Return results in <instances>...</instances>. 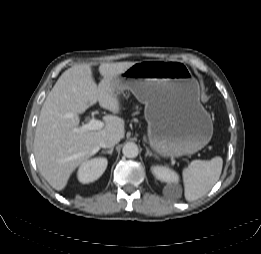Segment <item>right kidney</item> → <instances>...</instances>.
Here are the masks:
<instances>
[{"instance_id":"ca27d5eb","label":"right kidney","mask_w":261,"mask_h":254,"mask_svg":"<svg viewBox=\"0 0 261 254\" xmlns=\"http://www.w3.org/2000/svg\"><path fill=\"white\" fill-rule=\"evenodd\" d=\"M108 161L104 157H97L84 161L77 172L79 182L88 184L100 178L107 168Z\"/></svg>"}]
</instances>
